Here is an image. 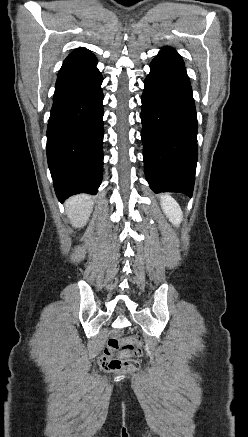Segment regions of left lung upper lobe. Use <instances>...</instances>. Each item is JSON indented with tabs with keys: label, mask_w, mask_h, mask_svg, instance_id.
<instances>
[{
	"label": "left lung upper lobe",
	"mask_w": 248,
	"mask_h": 437,
	"mask_svg": "<svg viewBox=\"0 0 248 437\" xmlns=\"http://www.w3.org/2000/svg\"><path fill=\"white\" fill-rule=\"evenodd\" d=\"M156 58L157 59H164V60H172V61L184 64L181 56L171 47L162 48V50L159 52V54Z\"/></svg>",
	"instance_id": "obj_1"
}]
</instances>
